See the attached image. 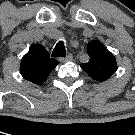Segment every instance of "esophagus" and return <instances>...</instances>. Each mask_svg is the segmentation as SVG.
Here are the masks:
<instances>
[{
    "mask_svg": "<svg viewBox=\"0 0 135 135\" xmlns=\"http://www.w3.org/2000/svg\"><path fill=\"white\" fill-rule=\"evenodd\" d=\"M73 59V56H72V54H68L66 57H61L60 59H59V61L60 62H67V61H71Z\"/></svg>",
    "mask_w": 135,
    "mask_h": 135,
    "instance_id": "34e87169",
    "label": "esophagus"
}]
</instances>
